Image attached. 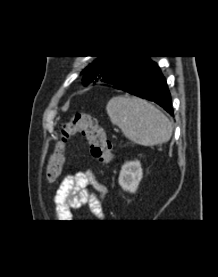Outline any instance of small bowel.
I'll use <instances>...</instances> for the list:
<instances>
[{"instance_id": "small-bowel-1", "label": "small bowel", "mask_w": 218, "mask_h": 277, "mask_svg": "<svg viewBox=\"0 0 218 277\" xmlns=\"http://www.w3.org/2000/svg\"><path fill=\"white\" fill-rule=\"evenodd\" d=\"M105 194V186L91 171H79L69 175L61 182L55 194L56 217L60 220L71 219L72 212L84 205H87L96 216L102 217L101 200Z\"/></svg>"}]
</instances>
